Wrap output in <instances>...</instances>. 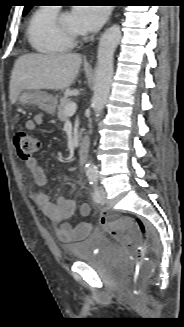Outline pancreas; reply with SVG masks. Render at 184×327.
I'll return each mask as SVG.
<instances>
[{"instance_id": "cf45deb5", "label": "pancreas", "mask_w": 184, "mask_h": 327, "mask_svg": "<svg viewBox=\"0 0 184 327\" xmlns=\"http://www.w3.org/2000/svg\"><path fill=\"white\" fill-rule=\"evenodd\" d=\"M71 100L66 98V97H63L60 99V104L58 105V118L60 121L62 122H65L69 119V116L65 113V107L68 103H70ZM81 134V132H80Z\"/></svg>"}]
</instances>
